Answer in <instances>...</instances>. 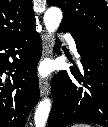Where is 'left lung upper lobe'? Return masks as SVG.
<instances>
[{
  "instance_id": "left-lung-upper-lobe-1",
  "label": "left lung upper lobe",
  "mask_w": 108,
  "mask_h": 127,
  "mask_svg": "<svg viewBox=\"0 0 108 127\" xmlns=\"http://www.w3.org/2000/svg\"><path fill=\"white\" fill-rule=\"evenodd\" d=\"M63 10L60 24L80 34V41L108 40V5L104 0H49Z\"/></svg>"
}]
</instances>
